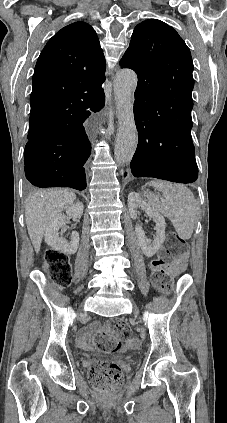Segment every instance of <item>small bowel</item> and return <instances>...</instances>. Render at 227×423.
<instances>
[{
  "label": "small bowel",
  "mask_w": 227,
  "mask_h": 423,
  "mask_svg": "<svg viewBox=\"0 0 227 423\" xmlns=\"http://www.w3.org/2000/svg\"><path fill=\"white\" fill-rule=\"evenodd\" d=\"M184 266V261L183 259H181L180 261H178L175 265L176 269H182ZM87 335H88V330L85 329L83 331H81L79 338H78V342L80 345L85 346L87 343Z\"/></svg>",
  "instance_id": "c3829d8e"
}]
</instances>
